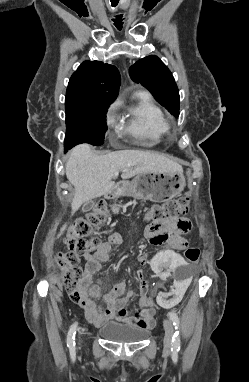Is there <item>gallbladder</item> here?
I'll list each match as a JSON object with an SVG mask.
<instances>
[{
  "instance_id": "gallbladder-1",
  "label": "gallbladder",
  "mask_w": 249,
  "mask_h": 382,
  "mask_svg": "<svg viewBox=\"0 0 249 382\" xmlns=\"http://www.w3.org/2000/svg\"><path fill=\"white\" fill-rule=\"evenodd\" d=\"M94 207V201L90 200L83 204L82 212H88Z\"/></svg>"
}]
</instances>
